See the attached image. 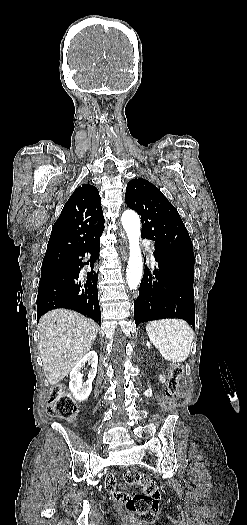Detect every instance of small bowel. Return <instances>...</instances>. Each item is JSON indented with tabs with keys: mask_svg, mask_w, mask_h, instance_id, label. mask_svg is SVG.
Segmentation results:
<instances>
[{
	"mask_svg": "<svg viewBox=\"0 0 247 525\" xmlns=\"http://www.w3.org/2000/svg\"><path fill=\"white\" fill-rule=\"evenodd\" d=\"M159 381H160L161 383L165 382V376H164V375H161V376L159 377ZM106 479H107V481H106V483H105V486H106L108 492L113 493V495H116V496L114 497V500H115L116 502H120V501H121V502H124V501L126 500V497H125L124 495H122V494H123V491H122V490H116V487H115V486H116V483H115L114 480H112V479H113V476H112L111 474H108V475L106 476ZM120 495H121V496H120Z\"/></svg>",
	"mask_w": 247,
	"mask_h": 525,
	"instance_id": "1",
	"label": "small bowel"
}]
</instances>
